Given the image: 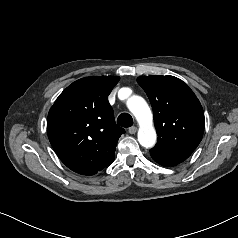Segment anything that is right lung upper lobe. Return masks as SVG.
Instances as JSON below:
<instances>
[{"instance_id": "right-lung-upper-lobe-1", "label": "right lung upper lobe", "mask_w": 238, "mask_h": 238, "mask_svg": "<svg viewBox=\"0 0 238 238\" xmlns=\"http://www.w3.org/2000/svg\"><path fill=\"white\" fill-rule=\"evenodd\" d=\"M119 76L79 79L48 113L47 133L60 160L72 171L93 175L114 161L124 129L117 126L108 96Z\"/></svg>"}]
</instances>
